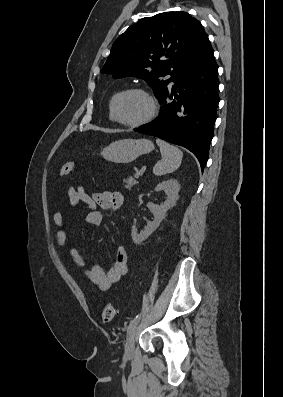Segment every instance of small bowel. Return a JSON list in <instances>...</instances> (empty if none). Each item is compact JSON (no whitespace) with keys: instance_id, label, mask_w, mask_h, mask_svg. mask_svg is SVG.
Wrapping results in <instances>:
<instances>
[{"instance_id":"1","label":"small bowel","mask_w":283,"mask_h":397,"mask_svg":"<svg viewBox=\"0 0 283 397\" xmlns=\"http://www.w3.org/2000/svg\"><path fill=\"white\" fill-rule=\"evenodd\" d=\"M68 198L71 207H76L80 204L86 206L88 209L86 222L96 226L102 223L105 213L116 212L122 207L124 202V198L119 192H96L90 196L82 186L70 187L68 189ZM53 221L57 227V244L63 247L67 241L65 217L60 212H54ZM70 255L74 264L83 269V273L88 281L103 291L108 290L113 284L118 282L128 270V256L123 246L117 248L115 261L107 271L98 264L86 269L85 259L76 247L70 249Z\"/></svg>"}]
</instances>
